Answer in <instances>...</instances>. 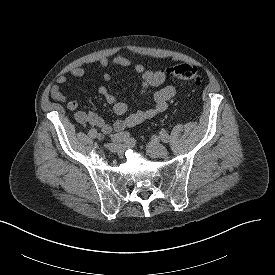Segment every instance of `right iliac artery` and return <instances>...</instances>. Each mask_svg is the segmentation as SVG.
<instances>
[{
    "label": "right iliac artery",
    "instance_id": "obj_1",
    "mask_svg": "<svg viewBox=\"0 0 275 275\" xmlns=\"http://www.w3.org/2000/svg\"><path fill=\"white\" fill-rule=\"evenodd\" d=\"M89 137L91 138H96L97 137V130L92 128L89 133H88ZM129 138V133L128 132H122V133H119V134H115L113 136V140L115 141H125Z\"/></svg>",
    "mask_w": 275,
    "mask_h": 275
}]
</instances>
